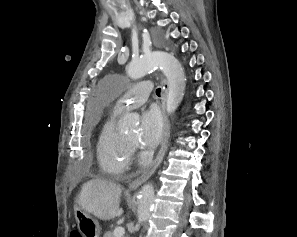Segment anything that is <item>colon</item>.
Masks as SVG:
<instances>
[{
  "mask_svg": "<svg viewBox=\"0 0 297 237\" xmlns=\"http://www.w3.org/2000/svg\"><path fill=\"white\" fill-rule=\"evenodd\" d=\"M70 237H81L78 232H72Z\"/></svg>",
  "mask_w": 297,
  "mask_h": 237,
  "instance_id": "5ec220e1",
  "label": "colon"
}]
</instances>
